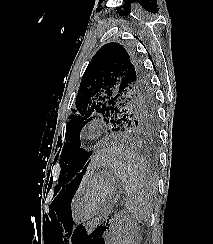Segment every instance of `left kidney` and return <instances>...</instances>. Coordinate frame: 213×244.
Wrapping results in <instances>:
<instances>
[{"label": "left kidney", "mask_w": 213, "mask_h": 244, "mask_svg": "<svg viewBox=\"0 0 213 244\" xmlns=\"http://www.w3.org/2000/svg\"><path fill=\"white\" fill-rule=\"evenodd\" d=\"M137 239V228L130 221L120 220L109 233L108 244H138Z\"/></svg>", "instance_id": "5707ae66"}]
</instances>
